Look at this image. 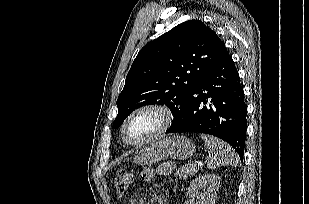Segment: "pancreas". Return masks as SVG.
Wrapping results in <instances>:
<instances>
[{"instance_id": "obj_1", "label": "pancreas", "mask_w": 309, "mask_h": 204, "mask_svg": "<svg viewBox=\"0 0 309 204\" xmlns=\"http://www.w3.org/2000/svg\"><path fill=\"white\" fill-rule=\"evenodd\" d=\"M200 169L199 166L193 163H188L183 165L176 173L175 177H179L180 179H186L187 177H190L194 175L198 170Z\"/></svg>"}]
</instances>
